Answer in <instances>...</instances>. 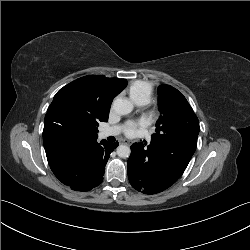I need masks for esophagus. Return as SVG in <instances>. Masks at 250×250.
Listing matches in <instances>:
<instances>
[{
    "mask_svg": "<svg viewBox=\"0 0 250 250\" xmlns=\"http://www.w3.org/2000/svg\"><path fill=\"white\" fill-rule=\"evenodd\" d=\"M121 143H122V144H127V145L130 144V142H129L128 140H125V139L121 140Z\"/></svg>",
    "mask_w": 250,
    "mask_h": 250,
    "instance_id": "1",
    "label": "esophagus"
}]
</instances>
